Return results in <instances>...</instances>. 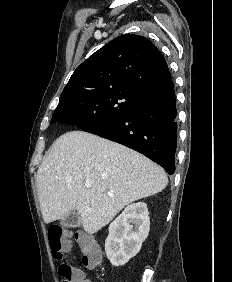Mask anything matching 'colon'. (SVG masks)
<instances>
[{
    "label": "colon",
    "mask_w": 232,
    "mask_h": 282,
    "mask_svg": "<svg viewBox=\"0 0 232 282\" xmlns=\"http://www.w3.org/2000/svg\"><path fill=\"white\" fill-rule=\"evenodd\" d=\"M48 239L51 252L55 259H62L65 250L71 245V239L64 236V232L61 227H51L48 232ZM81 252L82 261L85 267L94 268L100 262V251L96 244L85 235L78 238ZM79 269L67 264L61 263L58 266V273L62 279V282H80L81 276Z\"/></svg>",
    "instance_id": "obj_1"
}]
</instances>
